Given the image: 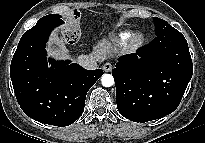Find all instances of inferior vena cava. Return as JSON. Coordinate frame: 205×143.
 <instances>
[{
  "mask_svg": "<svg viewBox=\"0 0 205 143\" xmlns=\"http://www.w3.org/2000/svg\"><path fill=\"white\" fill-rule=\"evenodd\" d=\"M78 63L87 70H95L98 67L97 60L89 55H80L78 57Z\"/></svg>",
  "mask_w": 205,
  "mask_h": 143,
  "instance_id": "inferior-vena-cava-1",
  "label": "inferior vena cava"
}]
</instances>
